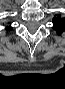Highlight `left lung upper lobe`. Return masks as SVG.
<instances>
[{
	"label": "left lung upper lobe",
	"instance_id": "5c2ea615",
	"mask_svg": "<svg viewBox=\"0 0 65 89\" xmlns=\"http://www.w3.org/2000/svg\"><path fill=\"white\" fill-rule=\"evenodd\" d=\"M53 29L57 31V34L60 35L65 29V19L60 16L53 18Z\"/></svg>",
	"mask_w": 65,
	"mask_h": 89
}]
</instances>
